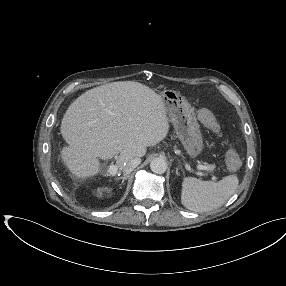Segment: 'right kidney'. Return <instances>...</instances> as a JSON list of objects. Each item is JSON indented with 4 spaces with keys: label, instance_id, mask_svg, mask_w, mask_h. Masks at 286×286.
Returning <instances> with one entry per match:
<instances>
[{
    "label": "right kidney",
    "instance_id": "ca27d5eb",
    "mask_svg": "<svg viewBox=\"0 0 286 286\" xmlns=\"http://www.w3.org/2000/svg\"><path fill=\"white\" fill-rule=\"evenodd\" d=\"M104 191H110V189L107 188V187H105V188H98V189H97V192H98L99 194H102Z\"/></svg>",
    "mask_w": 286,
    "mask_h": 286
}]
</instances>
